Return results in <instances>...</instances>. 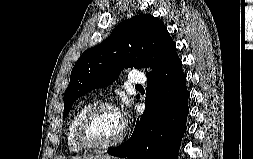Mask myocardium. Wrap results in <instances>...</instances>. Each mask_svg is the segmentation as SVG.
<instances>
[{
	"label": "myocardium",
	"instance_id": "myocardium-1",
	"mask_svg": "<svg viewBox=\"0 0 253 159\" xmlns=\"http://www.w3.org/2000/svg\"><path fill=\"white\" fill-rule=\"evenodd\" d=\"M104 109L118 110L116 104L111 101L97 102L90 107L80 119L76 129V141L84 149L100 150L107 149L120 144L127 135V125L124 123L122 132L113 140L103 143H98L92 140L89 135V126L92 119ZM119 111V110H118Z\"/></svg>",
	"mask_w": 253,
	"mask_h": 159
}]
</instances>
